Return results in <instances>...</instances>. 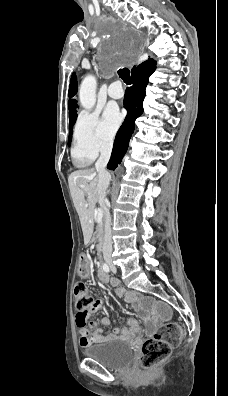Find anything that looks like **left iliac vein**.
<instances>
[{
  "mask_svg": "<svg viewBox=\"0 0 228 396\" xmlns=\"http://www.w3.org/2000/svg\"><path fill=\"white\" fill-rule=\"evenodd\" d=\"M110 267H111L112 272H113V273H116V268H115V266H114L113 264H111Z\"/></svg>",
  "mask_w": 228,
  "mask_h": 396,
  "instance_id": "4c4485c4",
  "label": "left iliac vein"
}]
</instances>
